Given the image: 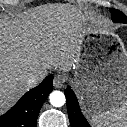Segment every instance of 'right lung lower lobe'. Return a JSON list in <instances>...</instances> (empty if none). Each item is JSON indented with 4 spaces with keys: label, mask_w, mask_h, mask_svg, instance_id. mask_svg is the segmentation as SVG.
I'll return each mask as SVG.
<instances>
[{
    "label": "right lung lower lobe",
    "mask_w": 127,
    "mask_h": 127,
    "mask_svg": "<svg viewBox=\"0 0 127 127\" xmlns=\"http://www.w3.org/2000/svg\"><path fill=\"white\" fill-rule=\"evenodd\" d=\"M52 87L53 76L49 75L27 92L6 114L0 116V127H36L39 111Z\"/></svg>",
    "instance_id": "98d812e1"
}]
</instances>
